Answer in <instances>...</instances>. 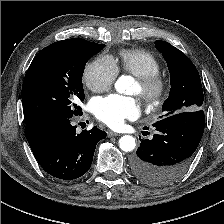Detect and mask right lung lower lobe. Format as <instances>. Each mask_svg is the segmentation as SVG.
<instances>
[{"label":"right lung lower lobe","mask_w":224,"mask_h":224,"mask_svg":"<svg viewBox=\"0 0 224 224\" xmlns=\"http://www.w3.org/2000/svg\"><path fill=\"white\" fill-rule=\"evenodd\" d=\"M71 119L47 115L25 125L26 139L38 163L48 174L63 180L84 175L91 167L97 143L106 137L97 127L76 134Z\"/></svg>","instance_id":"obj_1"}]
</instances>
